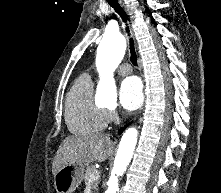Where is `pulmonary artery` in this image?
Masks as SVG:
<instances>
[{
	"label": "pulmonary artery",
	"instance_id": "1",
	"mask_svg": "<svg viewBox=\"0 0 221 193\" xmlns=\"http://www.w3.org/2000/svg\"><path fill=\"white\" fill-rule=\"evenodd\" d=\"M131 72H132L131 66L127 63L120 65L118 68V73L123 76L128 75Z\"/></svg>",
	"mask_w": 221,
	"mask_h": 193
}]
</instances>
